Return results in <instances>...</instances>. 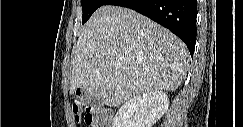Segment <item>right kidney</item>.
<instances>
[{
  "label": "right kidney",
  "instance_id": "ca27d5eb",
  "mask_svg": "<svg viewBox=\"0 0 243 127\" xmlns=\"http://www.w3.org/2000/svg\"><path fill=\"white\" fill-rule=\"evenodd\" d=\"M168 107L169 99L161 90L134 96L119 108L112 127H152Z\"/></svg>",
  "mask_w": 243,
  "mask_h": 127
}]
</instances>
